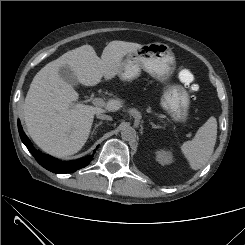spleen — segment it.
Returning a JSON list of instances; mask_svg holds the SVG:
<instances>
[{
  "label": "spleen",
  "mask_w": 245,
  "mask_h": 245,
  "mask_svg": "<svg viewBox=\"0 0 245 245\" xmlns=\"http://www.w3.org/2000/svg\"><path fill=\"white\" fill-rule=\"evenodd\" d=\"M217 138V121L211 116L201 126L191 141L184 142L181 151L193 170L202 168L214 151Z\"/></svg>",
  "instance_id": "1"
}]
</instances>
